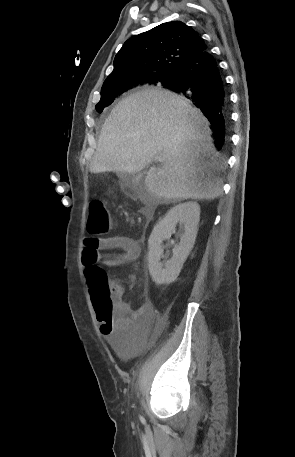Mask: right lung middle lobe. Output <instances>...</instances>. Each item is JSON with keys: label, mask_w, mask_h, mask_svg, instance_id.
Here are the masks:
<instances>
[{"label": "right lung middle lobe", "mask_w": 295, "mask_h": 457, "mask_svg": "<svg viewBox=\"0 0 295 457\" xmlns=\"http://www.w3.org/2000/svg\"><path fill=\"white\" fill-rule=\"evenodd\" d=\"M175 80V77H164L160 78L158 80H154L152 83H146V84H154V85H161L164 88L168 87L173 81ZM129 86H120L117 88H111V89H106L101 91V99L99 103L96 105V110L101 113L102 110L106 107L109 106L116 97L119 95L123 94L126 92L127 88Z\"/></svg>", "instance_id": "1"}]
</instances>
